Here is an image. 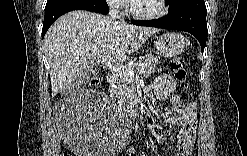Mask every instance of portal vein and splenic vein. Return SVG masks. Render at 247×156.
Wrapping results in <instances>:
<instances>
[{"mask_svg": "<svg viewBox=\"0 0 247 156\" xmlns=\"http://www.w3.org/2000/svg\"><path fill=\"white\" fill-rule=\"evenodd\" d=\"M100 63L103 65V66H106L109 68V70L112 72V73H118L120 75H127L129 77H132L134 78L135 76V72L133 70H131L128 66L126 65H121V64H117V63H112L110 61H107L106 59L104 58H101L100 60Z\"/></svg>", "mask_w": 247, "mask_h": 156, "instance_id": "obj_1", "label": "portal vein and splenic vein"}]
</instances>
